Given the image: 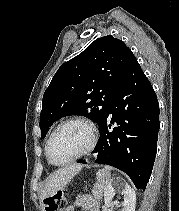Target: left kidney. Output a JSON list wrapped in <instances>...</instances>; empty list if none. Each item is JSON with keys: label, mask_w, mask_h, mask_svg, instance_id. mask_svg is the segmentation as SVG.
<instances>
[{"label": "left kidney", "mask_w": 179, "mask_h": 211, "mask_svg": "<svg viewBox=\"0 0 179 211\" xmlns=\"http://www.w3.org/2000/svg\"><path fill=\"white\" fill-rule=\"evenodd\" d=\"M116 193H121L124 197V201L121 203L123 207L121 211H135L136 194L135 191L129 186L120 187L116 183L107 184L104 190L105 204L114 205L115 203H118H112V198Z\"/></svg>", "instance_id": "obj_1"}]
</instances>
